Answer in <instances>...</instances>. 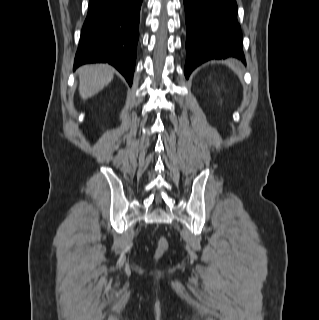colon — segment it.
I'll list each match as a JSON object with an SVG mask.
<instances>
[{
	"label": "colon",
	"instance_id": "obj_1",
	"mask_svg": "<svg viewBox=\"0 0 319 320\" xmlns=\"http://www.w3.org/2000/svg\"><path fill=\"white\" fill-rule=\"evenodd\" d=\"M168 248V241L165 237H160L157 242V252L159 254L165 252Z\"/></svg>",
	"mask_w": 319,
	"mask_h": 320
}]
</instances>
